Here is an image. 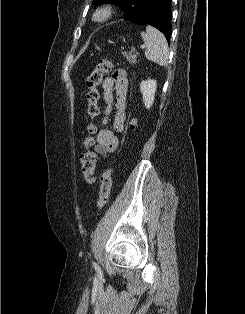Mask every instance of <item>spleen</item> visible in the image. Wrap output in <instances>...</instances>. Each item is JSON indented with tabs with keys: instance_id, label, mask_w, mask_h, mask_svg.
I'll use <instances>...</instances> for the list:
<instances>
[{
	"instance_id": "3e777b00",
	"label": "spleen",
	"mask_w": 245,
	"mask_h": 314,
	"mask_svg": "<svg viewBox=\"0 0 245 314\" xmlns=\"http://www.w3.org/2000/svg\"><path fill=\"white\" fill-rule=\"evenodd\" d=\"M141 37L146 46L145 57L160 66H166L169 50L164 35L156 28L147 26L146 32H141Z\"/></svg>"
}]
</instances>
